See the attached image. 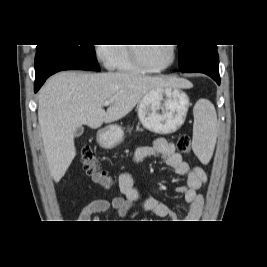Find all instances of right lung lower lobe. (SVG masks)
Returning <instances> with one entry per match:
<instances>
[{
  "label": "right lung lower lobe",
  "instance_id": "98d812e1",
  "mask_svg": "<svg viewBox=\"0 0 267 267\" xmlns=\"http://www.w3.org/2000/svg\"><path fill=\"white\" fill-rule=\"evenodd\" d=\"M63 70L93 69L54 49L36 51L34 91L37 92L49 76Z\"/></svg>",
  "mask_w": 267,
  "mask_h": 267
}]
</instances>
